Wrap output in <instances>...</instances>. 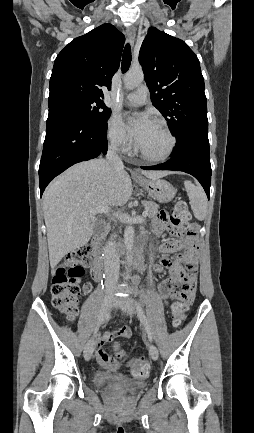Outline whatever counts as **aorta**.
Returning a JSON list of instances; mask_svg holds the SVG:
<instances>
[{"label": "aorta", "mask_w": 254, "mask_h": 433, "mask_svg": "<svg viewBox=\"0 0 254 433\" xmlns=\"http://www.w3.org/2000/svg\"><path fill=\"white\" fill-rule=\"evenodd\" d=\"M144 80V74L142 70H130L126 73L124 77V85L127 89L131 90L138 87ZM134 228L131 225L126 226L124 230V244L127 251L126 259H127V277L131 272L130 266L132 264V249L134 245Z\"/></svg>", "instance_id": "obj_1"}]
</instances>
